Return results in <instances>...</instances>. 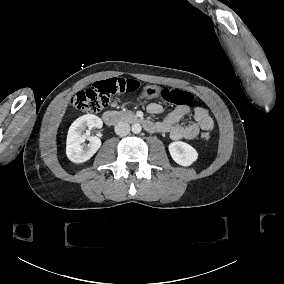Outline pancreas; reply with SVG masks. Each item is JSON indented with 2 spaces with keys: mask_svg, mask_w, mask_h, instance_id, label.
I'll list each match as a JSON object with an SVG mask.
<instances>
[{
  "mask_svg": "<svg viewBox=\"0 0 284 284\" xmlns=\"http://www.w3.org/2000/svg\"><path fill=\"white\" fill-rule=\"evenodd\" d=\"M117 115L122 120H128V119L135 118V114L132 111H129V110H127V111H119V112H117Z\"/></svg>",
  "mask_w": 284,
  "mask_h": 284,
  "instance_id": "1",
  "label": "pancreas"
}]
</instances>
